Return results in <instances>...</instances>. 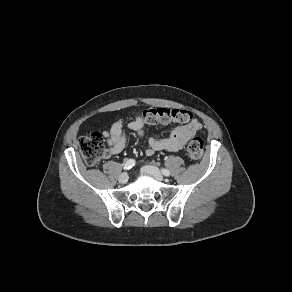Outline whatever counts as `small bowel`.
Masks as SVG:
<instances>
[{"label": "small bowel", "mask_w": 292, "mask_h": 292, "mask_svg": "<svg viewBox=\"0 0 292 292\" xmlns=\"http://www.w3.org/2000/svg\"><path fill=\"white\" fill-rule=\"evenodd\" d=\"M146 123L147 122L142 115H135L133 120L128 123L127 127L139 137L143 138V127ZM177 123L178 125L172 129L167 137L161 139L149 138L147 140L145 150L146 155L152 156L158 151H179L193 136L202 132L201 123L188 111H185V119ZM103 135L106 138L108 146L104 155L105 158L117 155L123 151L127 138L125 126L122 120L113 123L110 129L104 131Z\"/></svg>", "instance_id": "obj_1"}]
</instances>
